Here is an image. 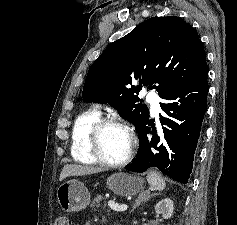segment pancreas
Listing matches in <instances>:
<instances>
[{
    "instance_id": "cf45deb5",
    "label": "pancreas",
    "mask_w": 237,
    "mask_h": 225,
    "mask_svg": "<svg viewBox=\"0 0 237 225\" xmlns=\"http://www.w3.org/2000/svg\"><path fill=\"white\" fill-rule=\"evenodd\" d=\"M105 199H106L105 197H103L101 195H97L94 198V200H93V202L91 204L92 209L95 210L97 207H100L101 204H103L105 206L106 205V201H104ZM103 201H104V203H102Z\"/></svg>"
}]
</instances>
